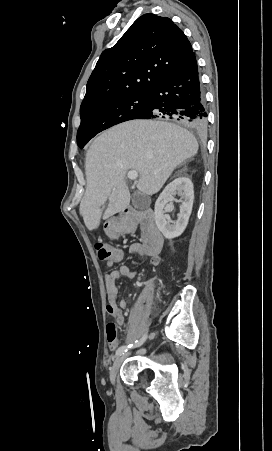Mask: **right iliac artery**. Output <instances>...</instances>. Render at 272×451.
Listing matches in <instances>:
<instances>
[{
  "label": "right iliac artery",
  "mask_w": 272,
  "mask_h": 451,
  "mask_svg": "<svg viewBox=\"0 0 272 451\" xmlns=\"http://www.w3.org/2000/svg\"><path fill=\"white\" fill-rule=\"evenodd\" d=\"M146 338H147V336L144 335L140 340L135 341V344H134V345H133V344H129V345H123V346H121V347L117 350L116 355H117V356L123 355L124 352H127V350H128L129 348H132L133 346H134V347H139L140 345L143 344V342L146 340Z\"/></svg>",
  "instance_id": "1"
}]
</instances>
